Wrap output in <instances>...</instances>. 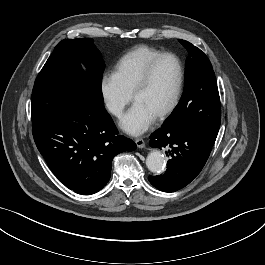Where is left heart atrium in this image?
I'll use <instances>...</instances> for the list:
<instances>
[{
    "label": "left heart atrium",
    "instance_id": "obj_1",
    "mask_svg": "<svg viewBox=\"0 0 265 265\" xmlns=\"http://www.w3.org/2000/svg\"><path fill=\"white\" fill-rule=\"evenodd\" d=\"M155 116L139 104H134L121 119V128L130 135L144 133L154 122Z\"/></svg>",
    "mask_w": 265,
    "mask_h": 265
}]
</instances>
